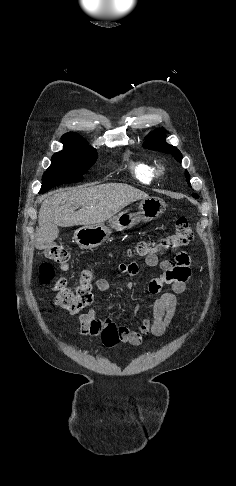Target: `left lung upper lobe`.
Returning a JSON list of instances; mask_svg holds the SVG:
<instances>
[{"instance_id": "1", "label": "left lung upper lobe", "mask_w": 236, "mask_h": 486, "mask_svg": "<svg viewBox=\"0 0 236 486\" xmlns=\"http://www.w3.org/2000/svg\"><path fill=\"white\" fill-rule=\"evenodd\" d=\"M165 130L164 129H156L152 132V134L145 140L143 147L150 150L160 151L163 153H171L177 161L181 163L182 154L181 152L174 146L169 145L165 141ZM186 178L187 183L190 185L189 174L186 171ZM195 198L198 196L195 194L193 195Z\"/></svg>"}]
</instances>
